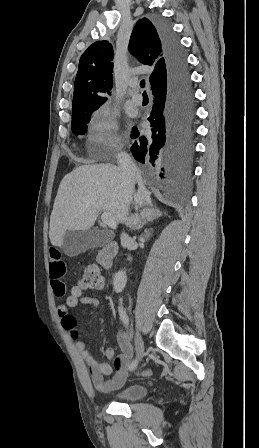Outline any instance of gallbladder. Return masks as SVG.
<instances>
[{
	"label": "gallbladder",
	"instance_id": "obj_1",
	"mask_svg": "<svg viewBox=\"0 0 259 448\" xmlns=\"http://www.w3.org/2000/svg\"><path fill=\"white\" fill-rule=\"evenodd\" d=\"M113 238L112 232L108 230H86V232H66L63 240V252L73 258L90 248H101L107 246Z\"/></svg>",
	"mask_w": 259,
	"mask_h": 448
}]
</instances>
